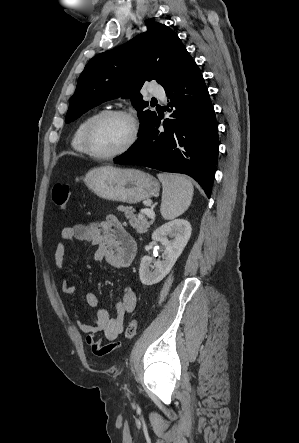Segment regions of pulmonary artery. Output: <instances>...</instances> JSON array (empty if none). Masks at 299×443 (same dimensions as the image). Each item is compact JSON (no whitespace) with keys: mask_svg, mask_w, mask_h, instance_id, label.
I'll return each instance as SVG.
<instances>
[{"mask_svg":"<svg viewBox=\"0 0 299 443\" xmlns=\"http://www.w3.org/2000/svg\"><path fill=\"white\" fill-rule=\"evenodd\" d=\"M150 93L152 96L160 98L162 100L165 98V91L161 86L158 85L152 86L150 89Z\"/></svg>","mask_w":299,"mask_h":443,"instance_id":"obj_1","label":"pulmonary artery"}]
</instances>
